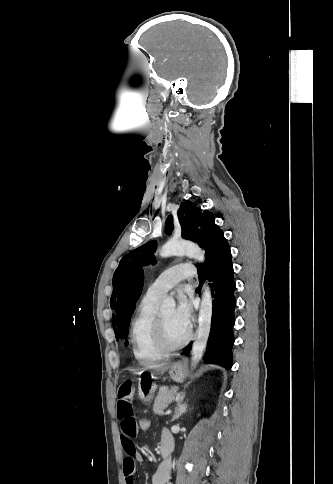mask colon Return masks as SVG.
<instances>
[{
    "mask_svg": "<svg viewBox=\"0 0 333 484\" xmlns=\"http://www.w3.org/2000/svg\"><path fill=\"white\" fill-rule=\"evenodd\" d=\"M137 426L140 433H146L151 429V419L148 417H140L137 420Z\"/></svg>",
    "mask_w": 333,
    "mask_h": 484,
    "instance_id": "obj_1",
    "label": "colon"
}]
</instances>
